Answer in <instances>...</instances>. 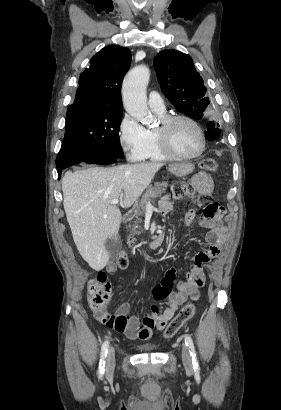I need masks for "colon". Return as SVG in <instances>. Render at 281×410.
Wrapping results in <instances>:
<instances>
[{
  "label": "colon",
  "mask_w": 281,
  "mask_h": 410,
  "mask_svg": "<svg viewBox=\"0 0 281 410\" xmlns=\"http://www.w3.org/2000/svg\"><path fill=\"white\" fill-rule=\"evenodd\" d=\"M200 167L208 172H215L218 170L217 162L211 158L203 159L200 163ZM192 190L193 188L190 184H182L177 190L171 193V196L173 199H177L181 195L191 193ZM199 204L204 209L205 215L208 217H217L224 214V208L214 202L210 195H200ZM116 264L119 268H126L128 266L129 257L125 251H121L118 254ZM87 293L90 307L101 322L115 330L125 328L127 324L125 317L111 315L107 312V307L112 294V286L105 273H98L88 282ZM194 312L195 305L193 303H188L185 305L179 314L169 323L164 332L165 337L170 338L178 333L184 327L186 322L193 316Z\"/></svg>",
  "instance_id": "colon-1"
}]
</instances>
